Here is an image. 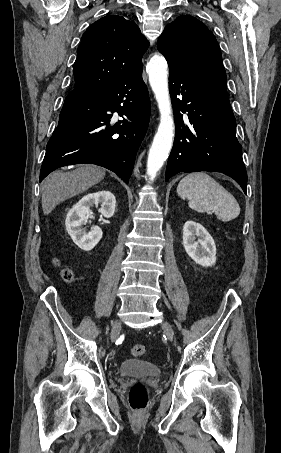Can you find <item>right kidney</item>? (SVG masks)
<instances>
[{"instance_id": "ca27d5eb", "label": "right kidney", "mask_w": 281, "mask_h": 453, "mask_svg": "<svg viewBox=\"0 0 281 453\" xmlns=\"http://www.w3.org/2000/svg\"><path fill=\"white\" fill-rule=\"evenodd\" d=\"M100 212L106 218L113 216L116 206V198L110 190H98V192H89L82 196L72 208L68 210L65 218L66 231L70 235L75 245L82 251H91L102 239V231L100 227H91L90 231H84L82 224L88 222V218L92 212L90 206L99 204Z\"/></svg>"}]
</instances>
